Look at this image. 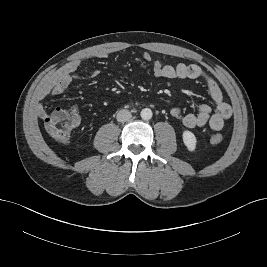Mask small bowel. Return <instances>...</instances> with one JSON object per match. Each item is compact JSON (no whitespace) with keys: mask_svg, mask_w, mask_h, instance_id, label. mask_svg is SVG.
<instances>
[{"mask_svg":"<svg viewBox=\"0 0 267 267\" xmlns=\"http://www.w3.org/2000/svg\"><path fill=\"white\" fill-rule=\"evenodd\" d=\"M97 57L106 58L107 55L100 53ZM142 61L145 64H151L152 74L157 78H179L190 80L202 79L206 83L208 93L215 106L214 112H212V108L207 104H202L197 113H188L183 116L182 110L179 107H173L170 110V115L173 118L178 119L182 117V122L187 128L202 127L208 124L212 130L218 131L222 129L225 121L231 117L232 109L224 100L223 94L217 82L200 66L195 64L187 65L183 63H179L175 66L165 65L158 60L152 61V57L149 53L143 54ZM79 69V61H71L67 63L62 69L57 71L52 79L44 86L40 92V97L44 98L48 95L58 96L65 93L71 80L73 78L80 77L78 74ZM97 74V71H92L89 76L95 77ZM71 111L77 112L76 107H73ZM36 114L41 119H45L48 116V112L41 104L36 107Z\"/></svg>","mask_w":267,"mask_h":267,"instance_id":"c3829d8e","label":"small bowel"}]
</instances>
